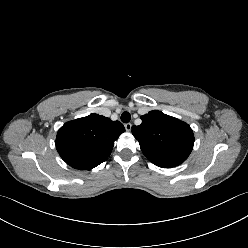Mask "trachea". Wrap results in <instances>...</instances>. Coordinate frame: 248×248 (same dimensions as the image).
Returning a JSON list of instances; mask_svg holds the SVG:
<instances>
[{
	"instance_id": "1",
	"label": "trachea",
	"mask_w": 248,
	"mask_h": 248,
	"mask_svg": "<svg viewBox=\"0 0 248 248\" xmlns=\"http://www.w3.org/2000/svg\"><path fill=\"white\" fill-rule=\"evenodd\" d=\"M131 120V115L128 112H123L121 115V121L128 123Z\"/></svg>"
}]
</instances>
